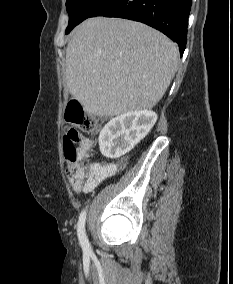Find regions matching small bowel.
Wrapping results in <instances>:
<instances>
[{
	"label": "small bowel",
	"mask_w": 233,
	"mask_h": 284,
	"mask_svg": "<svg viewBox=\"0 0 233 284\" xmlns=\"http://www.w3.org/2000/svg\"><path fill=\"white\" fill-rule=\"evenodd\" d=\"M127 160L122 158L114 162L92 163L87 169V174L91 182V189L102 183L107 178L115 175L124 168Z\"/></svg>",
	"instance_id": "obj_1"
}]
</instances>
